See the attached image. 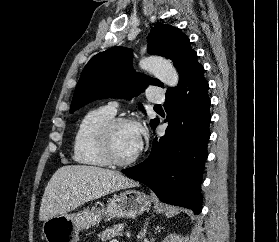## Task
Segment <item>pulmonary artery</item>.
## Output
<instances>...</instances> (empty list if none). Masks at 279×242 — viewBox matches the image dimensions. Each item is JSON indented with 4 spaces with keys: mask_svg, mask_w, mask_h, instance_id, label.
Returning a JSON list of instances; mask_svg holds the SVG:
<instances>
[{
    "mask_svg": "<svg viewBox=\"0 0 279 242\" xmlns=\"http://www.w3.org/2000/svg\"><path fill=\"white\" fill-rule=\"evenodd\" d=\"M147 96H148V100L150 102L156 103V104L164 102V99H165L164 92L162 91V89L159 86H156V85H152V86L148 87ZM117 107H118V105L116 102H112L109 105L110 110L113 111L114 113L117 111Z\"/></svg>",
    "mask_w": 279,
    "mask_h": 242,
    "instance_id": "e3ab8cb5",
    "label": "pulmonary artery"
}]
</instances>
